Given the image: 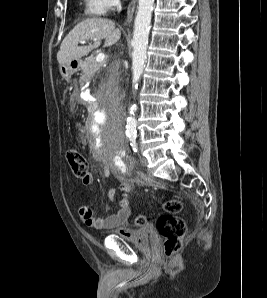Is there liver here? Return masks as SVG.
<instances>
[{"mask_svg":"<svg viewBox=\"0 0 267 298\" xmlns=\"http://www.w3.org/2000/svg\"><path fill=\"white\" fill-rule=\"evenodd\" d=\"M121 31L115 28V23L109 19L89 18L77 24L64 38L57 53L60 65L72 60H78L101 45L110 47L120 39ZM93 40V44L78 46L80 41Z\"/></svg>","mask_w":267,"mask_h":298,"instance_id":"1","label":"liver"}]
</instances>
